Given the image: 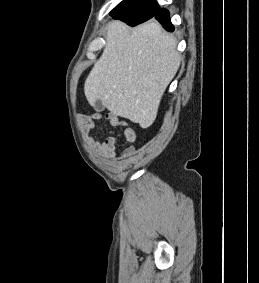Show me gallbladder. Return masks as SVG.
<instances>
[{"instance_id":"bac80fb5","label":"gallbladder","mask_w":259,"mask_h":283,"mask_svg":"<svg viewBox=\"0 0 259 283\" xmlns=\"http://www.w3.org/2000/svg\"><path fill=\"white\" fill-rule=\"evenodd\" d=\"M94 110L97 112L104 111L105 107L100 100H97L93 106Z\"/></svg>"}]
</instances>
